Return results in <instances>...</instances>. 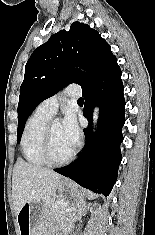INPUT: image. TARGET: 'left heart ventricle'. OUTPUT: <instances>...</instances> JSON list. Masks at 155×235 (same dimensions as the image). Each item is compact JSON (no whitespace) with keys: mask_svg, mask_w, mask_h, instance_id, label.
Returning <instances> with one entry per match:
<instances>
[{"mask_svg":"<svg viewBox=\"0 0 155 235\" xmlns=\"http://www.w3.org/2000/svg\"><path fill=\"white\" fill-rule=\"evenodd\" d=\"M74 147L67 140L62 125L59 121H54L51 128V151L56 159L67 157Z\"/></svg>","mask_w":155,"mask_h":235,"instance_id":"1","label":"left heart ventricle"}]
</instances>
